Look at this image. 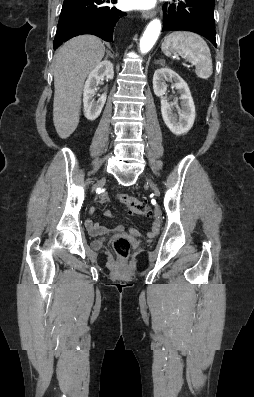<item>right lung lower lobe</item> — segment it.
Instances as JSON below:
<instances>
[{
	"label": "right lung lower lobe",
	"instance_id": "obj_1",
	"mask_svg": "<svg viewBox=\"0 0 254 397\" xmlns=\"http://www.w3.org/2000/svg\"><path fill=\"white\" fill-rule=\"evenodd\" d=\"M116 0H64L57 32L54 39V50L63 42L82 34H92L105 41H112L113 32L122 17L126 16L115 7L106 3Z\"/></svg>",
	"mask_w": 254,
	"mask_h": 397
}]
</instances>
